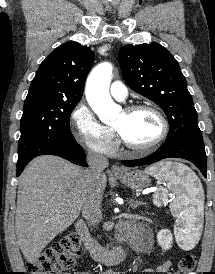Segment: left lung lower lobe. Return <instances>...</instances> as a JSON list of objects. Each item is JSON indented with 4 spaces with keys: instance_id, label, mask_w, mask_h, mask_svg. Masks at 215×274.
<instances>
[{
    "instance_id": "left-lung-lower-lobe-1",
    "label": "left lung lower lobe",
    "mask_w": 215,
    "mask_h": 274,
    "mask_svg": "<svg viewBox=\"0 0 215 274\" xmlns=\"http://www.w3.org/2000/svg\"><path fill=\"white\" fill-rule=\"evenodd\" d=\"M182 158L195 164L202 174L206 177L207 157L204 144H196L191 142H166L162 144L157 151L151 155L136 159L126 160L122 163L128 167L149 165L165 158Z\"/></svg>"
}]
</instances>
